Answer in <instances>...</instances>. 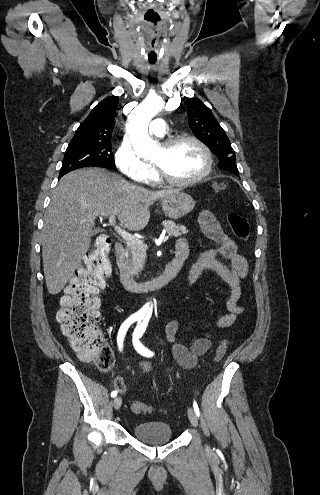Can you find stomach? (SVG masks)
Instances as JSON below:
<instances>
[{
  "label": "stomach",
  "instance_id": "0dacf381",
  "mask_svg": "<svg viewBox=\"0 0 320 495\" xmlns=\"http://www.w3.org/2000/svg\"><path fill=\"white\" fill-rule=\"evenodd\" d=\"M161 205L166 216L170 219H179L194 209L195 201L190 195L176 191L164 197Z\"/></svg>",
  "mask_w": 320,
  "mask_h": 495
}]
</instances>
